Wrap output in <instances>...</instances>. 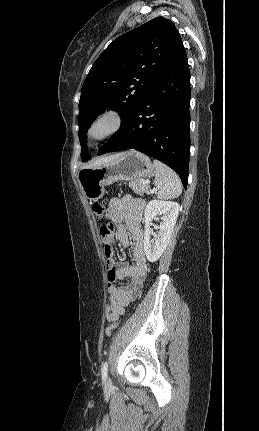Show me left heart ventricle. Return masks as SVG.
Here are the masks:
<instances>
[{"instance_id":"obj_1","label":"left heart ventricle","mask_w":259,"mask_h":431,"mask_svg":"<svg viewBox=\"0 0 259 431\" xmlns=\"http://www.w3.org/2000/svg\"><path fill=\"white\" fill-rule=\"evenodd\" d=\"M105 128H106V125H104V124L99 125V126H98V127H96V129L94 130V134H95V135H99V134H101V133L105 130Z\"/></svg>"}]
</instances>
